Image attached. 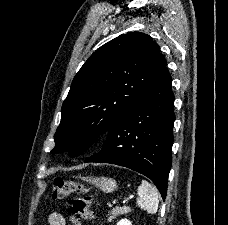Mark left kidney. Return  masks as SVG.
<instances>
[{"label":"left kidney","mask_w":228,"mask_h":225,"mask_svg":"<svg viewBox=\"0 0 228 225\" xmlns=\"http://www.w3.org/2000/svg\"><path fill=\"white\" fill-rule=\"evenodd\" d=\"M117 225H132L131 221H128V219H121Z\"/></svg>","instance_id":"1"}]
</instances>
